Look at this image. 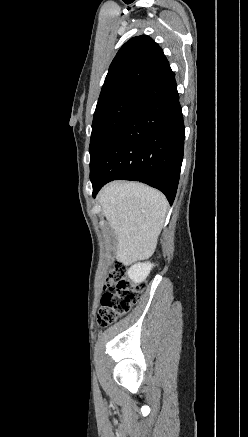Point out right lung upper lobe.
Instances as JSON below:
<instances>
[{"label": "right lung upper lobe", "mask_w": 248, "mask_h": 437, "mask_svg": "<svg viewBox=\"0 0 248 437\" xmlns=\"http://www.w3.org/2000/svg\"><path fill=\"white\" fill-rule=\"evenodd\" d=\"M167 66L162 49L146 35L131 38L113 59L97 106L125 92H141Z\"/></svg>", "instance_id": "obj_1"}]
</instances>
